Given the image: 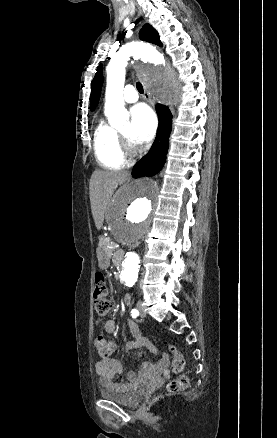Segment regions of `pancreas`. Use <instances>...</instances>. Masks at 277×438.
Segmentation results:
<instances>
[{"label": "pancreas", "mask_w": 277, "mask_h": 438, "mask_svg": "<svg viewBox=\"0 0 277 438\" xmlns=\"http://www.w3.org/2000/svg\"><path fill=\"white\" fill-rule=\"evenodd\" d=\"M98 243L100 244L98 250L100 253H116L117 245L112 242V232L102 231L98 236Z\"/></svg>", "instance_id": "1"}]
</instances>
